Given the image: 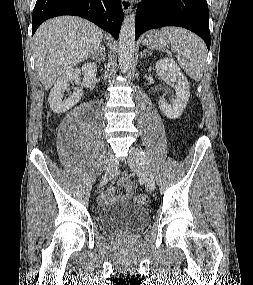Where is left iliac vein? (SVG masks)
Segmentation results:
<instances>
[{
    "instance_id": "1",
    "label": "left iliac vein",
    "mask_w": 253,
    "mask_h": 285,
    "mask_svg": "<svg viewBox=\"0 0 253 285\" xmlns=\"http://www.w3.org/2000/svg\"><path fill=\"white\" fill-rule=\"evenodd\" d=\"M129 167L143 179L147 187L153 191L155 189V180L153 173L148 167L146 160L140 154V150L136 147H131L128 157Z\"/></svg>"
}]
</instances>
